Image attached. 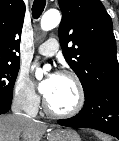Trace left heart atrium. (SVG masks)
Instances as JSON below:
<instances>
[{
    "label": "left heart atrium",
    "instance_id": "obj_1",
    "mask_svg": "<svg viewBox=\"0 0 119 141\" xmlns=\"http://www.w3.org/2000/svg\"><path fill=\"white\" fill-rule=\"evenodd\" d=\"M56 76V74H52L46 80L40 83L39 90L45 97L50 93Z\"/></svg>",
    "mask_w": 119,
    "mask_h": 141
}]
</instances>
